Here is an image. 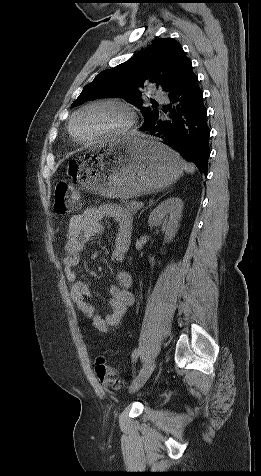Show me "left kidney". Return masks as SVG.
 <instances>
[{
    "instance_id": "obj_1",
    "label": "left kidney",
    "mask_w": 261,
    "mask_h": 476,
    "mask_svg": "<svg viewBox=\"0 0 261 476\" xmlns=\"http://www.w3.org/2000/svg\"><path fill=\"white\" fill-rule=\"evenodd\" d=\"M183 201L179 197H170L162 201L149 215L148 223L152 227L161 226L165 232V242H170L179 227L182 217Z\"/></svg>"
}]
</instances>
